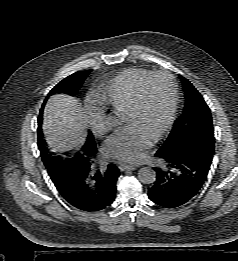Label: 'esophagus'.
Segmentation results:
<instances>
[{
	"mask_svg": "<svg viewBox=\"0 0 238 261\" xmlns=\"http://www.w3.org/2000/svg\"><path fill=\"white\" fill-rule=\"evenodd\" d=\"M120 171L135 170L136 167L133 165L121 164L119 166Z\"/></svg>",
	"mask_w": 238,
	"mask_h": 261,
	"instance_id": "34e87169",
	"label": "esophagus"
}]
</instances>
